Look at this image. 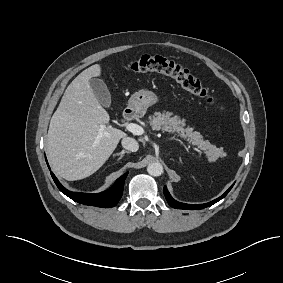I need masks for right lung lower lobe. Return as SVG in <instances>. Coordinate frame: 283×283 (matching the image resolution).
I'll return each mask as SVG.
<instances>
[{
	"instance_id": "right-lung-lower-lobe-1",
	"label": "right lung lower lobe",
	"mask_w": 283,
	"mask_h": 283,
	"mask_svg": "<svg viewBox=\"0 0 283 283\" xmlns=\"http://www.w3.org/2000/svg\"><path fill=\"white\" fill-rule=\"evenodd\" d=\"M127 174L128 172L122 175L121 177H119L114 183V185L107 191L98 194H87V193H76L67 190L60 184V182L57 180L55 175L51 172V176L54 182L56 183L57 187L66 196H68L69 198H71L72 200L78 203L102 207V208L114 207L119 202L123 193L124 182L127 177Z\"/></svg>"
}]
</instances>
